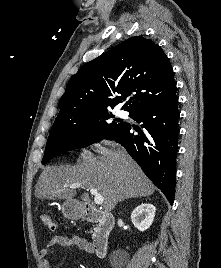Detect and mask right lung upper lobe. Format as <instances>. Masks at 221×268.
<instances>
[{"label": "right lung upper lobe", "instance_id": "cb5924a9", "mask_svg": "<svg viewBox=\"0 0 221 268\" xmlns=\"http://www.w3.org/2000/svg\"><path fill=\"white\" fill-rule=\"evenodd\" d=\"M175 89L172 67L160 46L141 36L132 37L84 64L72 76L55 120L104 112L133 95L121 108L131 115L172 97Z\"/></svg>", "mask_w": 221, "mask_h": 268}]
</instances>
